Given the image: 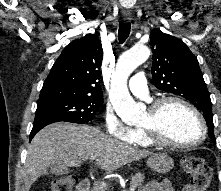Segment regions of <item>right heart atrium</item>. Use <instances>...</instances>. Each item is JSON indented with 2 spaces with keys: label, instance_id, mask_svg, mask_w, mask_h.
<instances>
[{
  "label": "right heart atrium",
  "instance_id": "d8ad5b80",
  "mask_svg": "<svg viewBox=\"0 0 221 191\" xmlns=\"http://www.w3.org/2000/svg\"><path fill=\"white\" fill-rule=\"evenodd\" d=\"M103 122L110 136L126 142L131 139L133 129L122 122L111 106L105 108Z\"/></svg>",
  "mask_w": 221,
  "mask_h": 191
}]
</instances>
